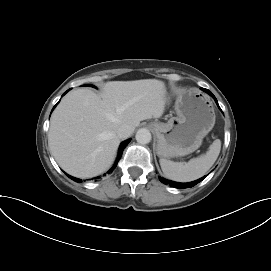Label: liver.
Returning <instances> with one entry per match:
<instances>
[{
  "mask_svg": "<svg viewBox=\"0 0 271 271\" xmlns=\"http://www.w3.org/2000/svg\"><path fill=\"white\" fill-rule=\"evenodd\" d=\"M162 81H110L97 95L87 88L69 92L54 110L48 140L59 166L78 178L105 172L113 163L123 125L160 118L166 106Z\"/></svg>",
  "mask_w": 271,
  "mask_h": 271,
  "instance_id": "obj_1",
  "label": "liver"
}]
</instances>
